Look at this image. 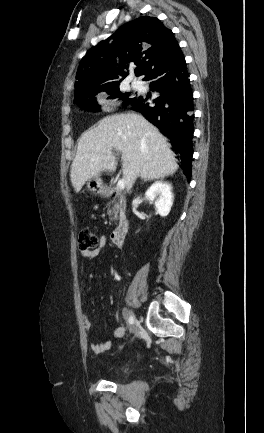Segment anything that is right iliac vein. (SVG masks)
I'll return each instance as SVG.
<instances>
[{
  "label": "right iliac vein",
  "mask_w": 264,
  "mask_h": 433,
  "mask_svg": "<svg viewBox=\"0 0 264 433\" xmlns=\"http://www.w3.org/2000/svg\"><path fill=\"white\" fill-rule=\"evenodd\" d=\"M137 325H138L137 320H134L133 325H132L131 328H130V331H131L132 333L136 331Z\"/></svg>",
  "instance_id": "obj_1"
}]
</instances>
